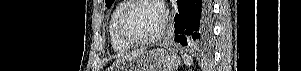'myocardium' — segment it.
Here are the masks:
<instances>
[{
    "label": "myocardium",
    "mask_w": 301,
    "mask_h": 71,
    "mask_svg": "<svg viewBox=\"0 0 301 71\" xmlns=\"http://www.w3.org/2000/svg\"><path fill=\"white\" fill-rule=\"evenodd\" d=\"M142 2H147L150 3L154 6H156L162 14V24L159 28V30L152 36L144 38V39H135L132 38L129 33L127 32L126 29V18L127 14L130 11L132 7L135 5L142 3ZM168 25V16L165 10L162 8L161 4L159 1H154V0H130L126 3V5L123 7L119 19H118V32L120 37L129 45L131 46H146L153 44L161 39V37L164 35L166 28Z\"/></svg>",
    "instance_id": "obj_1"
}]
</instances>
